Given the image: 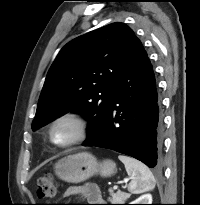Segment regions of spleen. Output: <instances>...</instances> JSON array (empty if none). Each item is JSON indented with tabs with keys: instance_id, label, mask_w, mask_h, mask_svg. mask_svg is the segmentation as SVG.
I'll list each match as a JSON object with an SVG mask.
<instances>
[{
	"instance_id": "3e777b00",
	"label": "spleen",
	"mask_w": 200,
	"mask_h": 205,
	"mask_svg": "<svg viewBox=\"0 0 200 205\" xmlns=\"http://www.w3.org/2000/svg\"><path fill=\"white\" fill-rule=\"evenodd\" d=\"M119 160L125 165L131 182L128 191L133 194H140L155 187V178L150 169L142 162L124 155L118 156Z\"/></svg>"
}]
</instances>
